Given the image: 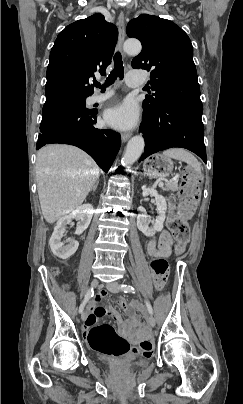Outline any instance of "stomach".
I'll return each instance as SVG.
<instances>
[{
  "mask_svg": "<svg viewBox=\"0 0 243 404\" xmlns=\"http://www.w3.org/2000/svg\"><path fill=\"white\" fill-rule=\"evenodd\" d=\"M144 173L150 178H165L169 176L173 170V162L171 158L161 154H154L145 160L143 164Z\"/></svg>",
  "mask_w": 243,
  "mask_h": 404,
  "instance_id": "0dacf381",
  "label": "stomach"
}]
</instances>
